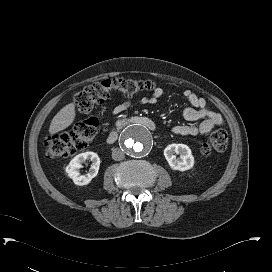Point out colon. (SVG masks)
Masks as SVG:
<instances>
[{
	"mask_svg": "<svg viewBox=\"0 0 272 272\" xmlns=\"http://www.w3.org/2000/svg\"><path fill=\"white\" fill-rule=\"evenodd\" d=\"M155 89L150 80L124 78L106 79L100 83L85 87L75 96V104L85 118L77 121L73 128L65 133L52 135L47 140V153L50 157H68L83 150L94 139L98 130V121L91 115L93 109L107 100L117 91L127 96L148 93ZM228 147V134L224 130L214 131L202 145V154L223 153Z\"/></svg>",
	"mask_w": 272,
	"mask_h": 272,
	"instance_id": "obj_1",
	"label": "colon"
}]
</instances>
